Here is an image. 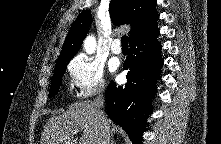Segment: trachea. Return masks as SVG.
<instances>
[{
	"label": "trachea",
	"instance_id": "3493384b",
	"mask_svg": "<svg viewBox=\"0 0 221 144\" xmlns=\"http://www.w3.org/2000/svg\"><path fill=\"white\" fill-rule=\"evenodd\" d=\"M121 44H122V47H128V38L127 36H122L121 37Z\"/></svg>",
	"mask_w": 221,
	"mask_h": 144
}]
</instances>
